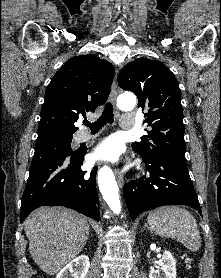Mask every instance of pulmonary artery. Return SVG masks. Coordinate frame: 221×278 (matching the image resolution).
Returning a JSON list of instances; mask_svg holds the SVG:
<instances>
[{"instance_id":"1","label":"pulmonary artery","mask_w":221,"mask_h":278,"mask_svg":"<svg viewBox=\"0 0 221 278\" xmlns=\"http://www.w3.org/2000/svg\"><path fill=\"white\" fill-rule=\"evenodd\" d=\"M135 119L132 115H124L121 118V127L123 129H133L134 128ZM91 138L90 132L86 130H82L78 132L76 140L77 142H84Z\"/></svg>"}]
</instances>
